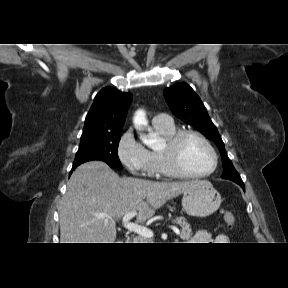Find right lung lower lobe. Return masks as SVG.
<instances>
[{"label": "right lung lower lobe", "mask_w": 288, "mask_h": 288, "mask_svg": "<svg viewBox=\"0 0 288 288\" xmlns=\"http://www.w3.org/2000/svg\"><path fill=\"white\" fill-rule=\"evenodd\" d=\"M74 169H75V168H72V170H71L70 174L72 173V171H73Z\"/></svg>", "instance_id": "98d812e1"}]
</instances>
